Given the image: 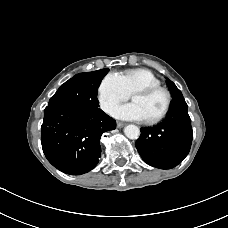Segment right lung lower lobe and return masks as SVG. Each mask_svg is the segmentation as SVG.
<instances>
[{"label": "right lung lower lobe", "instance_id": "right-lung-lower-lobe-1", "mask_svg": "<svg viewBox=\"0 0 228 228\" xmlns=\"http://www.w3.org/2000/svg\"><path fill=\"white\" fill-rule=\"evenodd\" d=\"M115 128L116 121L99 108L76 110L48 106L41 126L42 149L58 170L80 175L97 165L101 155L100 137Z\"/></svg>", "mask_w": 228, "mask_h": 228}]
</instances>
